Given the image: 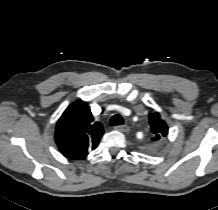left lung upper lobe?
<instances>
[{
	"label": "left lung upper lobe",
	"instance_id": "1",
	"mask_svg": "<svg viewBox=\"0 0 218 210\" xmlns=\"http://www.w3.org/2000/svg\"><path fill=\"white\" fill-rule=\"evenodd\" d=\"M149 122L151 126V132L154 134L152 140L158 141L160 138L165 137L168 134V126L165 121L160 118L159 113L149 114Z\"/></svg>",
	"mask_w": 218,
	"mask_h": 210
}]
</instances>
